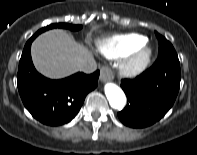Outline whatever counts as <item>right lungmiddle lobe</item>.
<instances>
[{
  "label": "right lung middle lobe",
  "mask_w": 197,
  "mask_h": 155,
  "mask_svg": "<svg viewBox=\"0 0 197 155\" xmlns=\"http://www.w3.org/2000/svg\"><path fill=\"white\" fill-rule=\"evenodd\" d=\"M52 28H66V29H70L73 31H77L79 29L82 28L81 25H72V24H67V23H55V24H51L49 26H46L40 30H38L32 37L36 38L40 33L48 30V29H52Z\"/></svg>",
  "instance_id": "1"
}]
</instances>
